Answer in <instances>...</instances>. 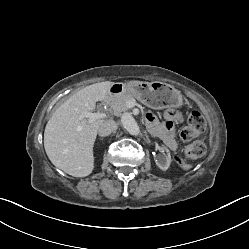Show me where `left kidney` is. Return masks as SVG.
<instances>
[{"mask_svg": "<svg viewBox=\"0 0 249 249\" xmlns=\"http://www.w3.org/2000/svg\"><path fill=\"white\" fill-rule=\"evenodd\" d=\"M171 150L170 149H163L161 152L157 153L155 156V163L156 165L163 171H166L171 163Z\"/></svg>", "mask_w": 249, "mask_h": 249, "instance_id": "1", "label": "left kidney"}]
</instances>
